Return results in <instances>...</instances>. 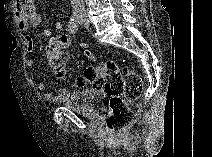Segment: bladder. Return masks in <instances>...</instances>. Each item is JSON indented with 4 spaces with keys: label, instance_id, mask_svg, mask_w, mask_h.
Listing matches in <instances>:
<instances>
[{
    "label": "bladder",
    "instance_id": "obj_1",
    "mask_svg": "<svg viewBox=\"0 0 212 157\" xmlns=\"http://www.w3.org/2000/svg\"><path fill=\"white\" fill-rule=\"evenodd\" d=\"M106 96L99 90L87 88L72 92L63 105L71 111L89 118H96Z\"/></svg>",
    "mask_w": 212,
    "mask_h": 157
}]
</instances>
